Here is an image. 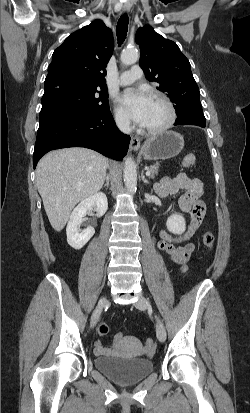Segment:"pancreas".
<instances>
[{
	"instance_id": "1",
	"label": "pancreas",
	"mask_w": 250,
	"mask_h": 413,
	"mask_svg": "<svg viewBox=\"0 0 250 413\" xmlns=\"http://www.w3.org/2000/svg\"><path fill=\"white\" fill-rule=\"evenodd\" d=\"M159 164H155L149 167V171L151 172L150 178H155V175L158 173Z\"/></svg>"
}]
</instances>
